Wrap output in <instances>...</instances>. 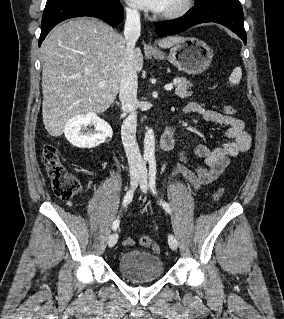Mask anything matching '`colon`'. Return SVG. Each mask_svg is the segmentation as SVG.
I'll return each instance as SVG.
<instances>
[{"label": "colon", "instance_id": "colon-1", "mask_svg": "<svg viewBox=\"0 0 284 319\" xmlns=\"http://www.w3.org/2000/svg\"><path fill=\"white\" fill-rule=\"evenodd\" d=\"M224 111L228 116L236 113V109L231 105H226ZM41 158L51 179L54 193L63 200H70L75 197L81 190V182L77 176L69 173L62 164L57 148L49 143L44 144L41 150ZM223 193V187L216 189L213 194V201L220 200ZM139 242L143 247L151 248L154 253H160V246L150 237L142 236ZM133 243L134 241L131 238L123 241L124 246H131Z\"/></svg>", "mask_w": 284, "mask_h": 319}]
</instances>
